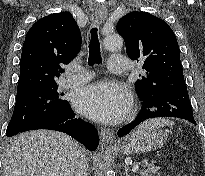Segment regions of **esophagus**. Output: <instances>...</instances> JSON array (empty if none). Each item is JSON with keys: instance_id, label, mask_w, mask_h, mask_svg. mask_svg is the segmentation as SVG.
<instances>
[{"instance_id": "34e87169", "label": "esophagus", "mask_w": 205, "mask_h": 176, "mask_svg": "<svg viewBox=\"0 0 205 176\" xmlns=\"http://www.w3.org/2000/svg\"><path fill=\"white\" fill-rule=\"evenodd\" d=\"M108 12L105 6H100L95 11V22L102 24L107 18ZM100 138L103 146L111 145L114 141V134L110 129H102L100 132Z\"/></svg>"}]
</instances>
